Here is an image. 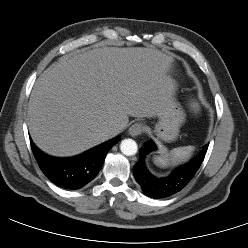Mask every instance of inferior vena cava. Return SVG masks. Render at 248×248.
<instances>
[{
  "instance_id": "602c4592",
  "label": "inferior vena cava",
  "mask_w": 248,
  "mask_h": 248,
  "mask_svg": "<svg viewBox=\"0 0 248 248\" xmlns=\"http://www.w3.org/2000/svg\"><path fill=\"white\" fill-rule=\"evenodd\" d=\"M120 132L118 127L110 128L107 130V133L110 135V137L116 136Z\"/></svg>"
}]
</instances>
